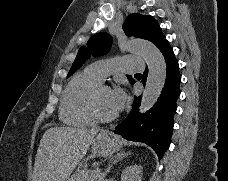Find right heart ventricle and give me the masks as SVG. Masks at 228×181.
Here are the masks:
<instances>
[{"mask_svg":"<svg viewBox=\"0 0 228 181\" xmlns=\"http://www.w3.org/2000/svg\"><path fill=\"white\" fill-rule=\"evenodd\" d=\"M100 81L94 75H87V72L73 76L62 100L61 117L64 121L75 125H91L96 122L90 103Z\"/></svg>","mask_w":228,"mask_h":181,"instance_id":"e07e8e85","label":"right heart ventricle"}]
</instances>
